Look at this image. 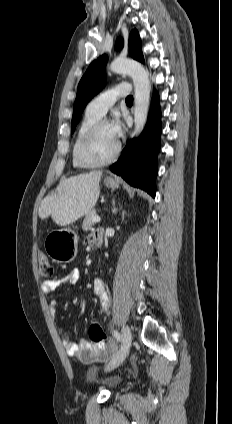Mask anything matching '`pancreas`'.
Masks as SVG:
<instances>
[{
  "label": "pancreas",
  "mask_w": 232,
  "mask_h": 424,
  "mask_svg": "<svg viewBox=\"0 0 232 424\" xmlns=\"http://www.w3.org/2000/svg\"><path fill=\"white\" fill-rule=\"evenodd\" d=\"M97 216L96 210H92L90 213H88L83 221L82 229L84 231L92 229V226L95 222L92 221V219Z\"/></svg>",
  "instance_id": "pancreas-1"
}]
</instances>
